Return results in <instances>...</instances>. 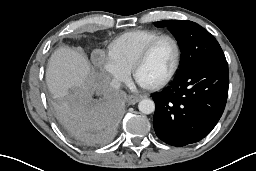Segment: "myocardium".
Masks as SVG:
<instances>
[{
  "label": "myocardium",
  "instance_id": "myocardium-1",
  "mask_svg": "<svg viewBox=\"0 0 256 171\" xmlns=\"http://www.w3.org/2000/svg\"><path fill=\"white\" fill-rule=\"evenodd\" d=\"M163 39H168L170 40L175 48V58H174V63L173 66L169 72V74L161 81L151 84V85H144L145 88L150 89V90H158L163 87H165L167 84H169L172 79L175 77L179 66L181 62V49L180 45L177 41V39L171 35L168 34H161L157 36L156 38L152 39L140 52V54L137 56L135 59L132 67H131V73L134 79H136L137 72L139 68L146 62L148 59L150 53L152 52L153 48L156 46L158 42H160Z\"/></svg>",
  "mask_w": 256,
  "mask_h": 171
}]
</instances>
